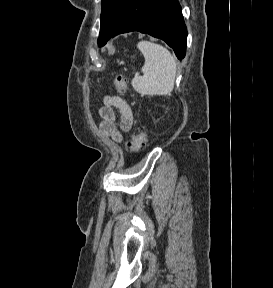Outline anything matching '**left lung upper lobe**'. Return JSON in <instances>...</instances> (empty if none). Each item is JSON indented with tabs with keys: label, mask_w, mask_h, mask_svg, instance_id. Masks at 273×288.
<instances>
[{
	"label": "left lung upper lobe",
	"mask_w": 273,
	"mask_h": 288,
	"mask_svg": "<svg viewBox=\"0 0 273 288\" xmlns=\"http://www.w3.org/2000/svg\"><path fill=\"white\" fill-rule=\"evenodd\" d=\"M131 2L132 0H102L99 46L105 45L112 37Z\"/></svg>",
	"instance_id": "1"
}]
</instances>
